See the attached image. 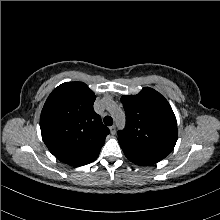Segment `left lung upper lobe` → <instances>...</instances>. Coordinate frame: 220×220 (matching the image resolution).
<instances>
[{"instance_id": "5c2ea615", "label": "left lung upper lobe", "mask_w": 220, "mask_h": 220, "mask_svg": "<svg viewBox=\"0 0 220 220\" xmlns=\"http://www.w3.org/2000/svg\"><path fill=\"white\" fill-rule=\"evenodd\" d=\"M125 129L118 141L126 157L139 165L164 159L177 141V122L167 100L156 90L144 87L137 95L122 96Z\"/></svg>"}]
</instances>
